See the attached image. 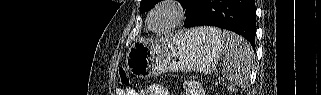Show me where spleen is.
Segmentation results:
<instances>
[{
    "label": "spleen",
    "mask_w": 321,
    "mask_h": 95,
    "mask_svg": "<svg viewBox=\"0 0 321 95\" xmlns=\"http://www.w3.org/2000/svg\"><path fill=\"white\" fill-rule=\"evenodd\" d=\"M216 42L223 43V76L237 86L244 87L248 82L254 53L247 40L229 31H221L212 27L199 28Z\"/></svg>",
    "instance_id": "3e777b00"
}]
</instances>
